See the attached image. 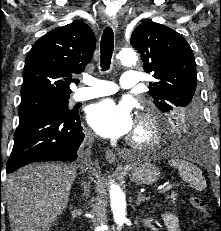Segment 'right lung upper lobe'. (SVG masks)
<instances>
[{
  "mask_svg": "<svg viewBox=\"0 0 221 231\" xmlns=\"http://www.w3.org/2000/svg\"><path fill=\"white\" fill-rule=\"evenodd\" d=\"M96 38L82 21L51 30L26 56L21 98L63 97L71 94L72 75L92 60Z\"/></svg>",
  "mask_w": 221,
  "mask_h": 231,
  "instance_id": "right-lung-upper-lobe-1",
  "label": "right lung upper lobe"
}]
</instances>
